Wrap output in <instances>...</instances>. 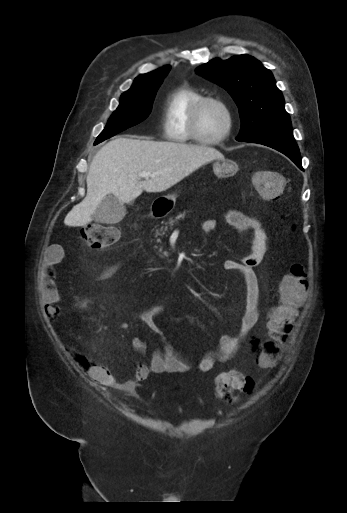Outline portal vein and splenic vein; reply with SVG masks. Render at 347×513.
<instances>
[{"label":"portal vein and splenic vein","instance_id":"portal-vein-and-splenic-vein-1","mask_svg":"<svg viewBox=\"0 0 347 513\" xmlns=\"http://www.w3.org/2000/svg\"><path fill=\"white\" fill-rule=\"evenodd\" d=\"M139 176L142 177V178L148 179L149 177L154 176V174H152L150 172H141L139 174Z\"/></svg>","mask_w":347,"mask_h":513}]
</instances>
